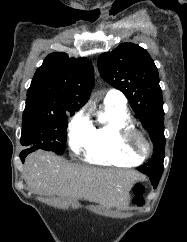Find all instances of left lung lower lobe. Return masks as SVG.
Wrapping results in <instances>:
<instances>
[{
    "label": "left lung lower lobe",
    "instance_id": "obj_1",
    "mask_svg": "<svg viewBox=\"0 0 187 242\" xmlns=\"http://www.w3.org/2000/svg\"><path fill=\"white\" fill-rule=\"evenodd\" d=\"M147 176L150 178V181H151L153 187L156 188L158 183H159V180H160L161 176H159V175H150V174H147Z\"/></svg>",
    "mask_w": 187,
    "mask_h": 242
}]
</instances>
